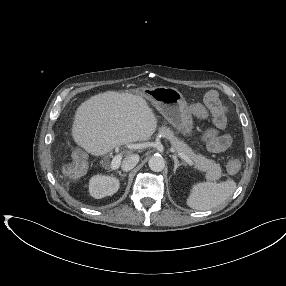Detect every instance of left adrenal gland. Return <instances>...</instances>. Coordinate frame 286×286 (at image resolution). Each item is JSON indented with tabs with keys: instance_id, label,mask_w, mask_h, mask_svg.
Listing matches in <instances>:
<instances>
[{
	"instance_id": "a2214340",
	"label": "left adrenal gland",
	"mask_w": 286,
	"mask_h": 286,
	"mask_svg": "<svg viewBox=\"0 0 286 286\" xmlns=\"http://www.w3.org/2000/svg\"><path fill=\"white\" fill-rule=\"evenodd\" d=\"M171 157H172L173 160H174V169H173V172L175 173L176 170H177V168H178L179 166H181V165H185V163H184V162H179V160L177 159V156H176V155H172Z\"/></svg>"
}]
</instances>
